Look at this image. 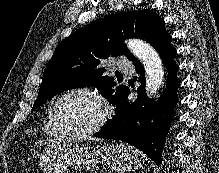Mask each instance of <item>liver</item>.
<instances>
[{"mask_svg":"<svg viewBox=\"0 0 219 173\" xmlns=\"http://www.w3.org/2000/svg\"><path fill=\"white\" fill-rule=\"evenodd\" d=\"M94 140H97V139H94ZM44 141H38L37 144H43Z\"/></svg>","mask_w":219,"mask_h":173,"instance_id":"obj_1","label":"liver"}]
</instances>
